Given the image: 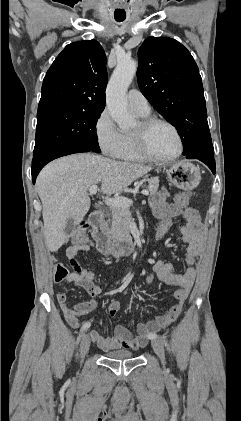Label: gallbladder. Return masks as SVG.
<instances>
[{
	"mask_svg": "<svg viewBox=\"0 0 241 421\" xmlns=\"http://www.w3.org/2000/svg\"><path fill=\"white\" fill-rule=\"evenodd\" d=\"M74 229H75V220L73 218H69L65 226L66 242L69 240V237L74 231Z\"/></svg>",
	"mask_w": 241,
	"mask_h": 421,
	"instance_id": "gallbladder-1",
	"label": "gallbladder"
}]
</instances>
